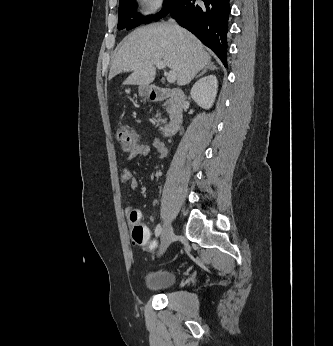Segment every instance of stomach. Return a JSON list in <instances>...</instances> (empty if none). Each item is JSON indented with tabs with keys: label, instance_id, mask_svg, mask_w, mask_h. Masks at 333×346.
I'll list each match as a JSON object with an SVG mask.
<instances>
[{
	"label": "stomach",
	"instance_id": "stomach-1",
	"mask_svg": "<svg viewBox=\"0 0 333 346\" xmlns=\"http://www.w3.org/2000/svg\"><path fill=\"white\" fill-rule=\"evenodd\" d=\"M149 94V87L148 86H140L139 87V95L142 97H146Z\"/></svg>",
	"mask_w": 333,
	"mask_h": 346
}]
</instances>
